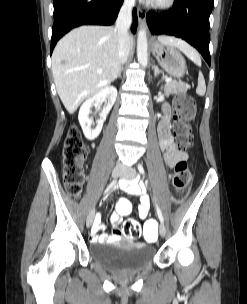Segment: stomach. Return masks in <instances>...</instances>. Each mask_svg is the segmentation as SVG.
<instances>
[{"label":"stomach","instance_id":"0dacf381","mask_svg":"<svg viewBox=\"0 0 247 304\" xmlns=\"http://www.w3.org/2000/svg\"><path fill=\"white\" fill-rule=\"evenodd\" d=\"M152 53L169 75L180 78L185 74L187 69L185 59L175 47L160 41L154 42Z\"/></svg>","mask_w":247,"mask_h":304}]
</instances>
